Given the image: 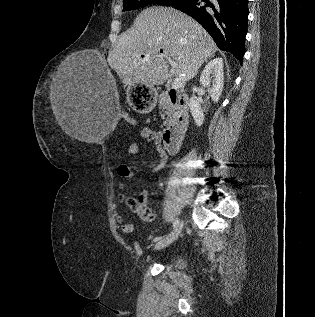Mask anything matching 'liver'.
<instances>
[{"label": "liver", "instance_id": "1", "mask_svg": "<svg viewBox=\"0 0 315 317\" xmlns=\"http://www.w3.org/2000/svg\"><path fill=\"white\" fill-rule=\"evenodd\" d=\"M160 49L163 53L157 54ZM216 50L210 35L188 15L171 7H150L120 37L107 61L125 86L142 83L152 87L180 74L185 80L193 78L204 59ZM169 57L175 61V68L169 67ZM69 63V59L64 61L60 70H66ZM114 95L118 101L117 93ZM55 97L51 99L52 110L62 130L82 140V123L71 111L70 103Z\"/></svg>", "mask_w": 315, "mask_h": 317}]
</instances>
